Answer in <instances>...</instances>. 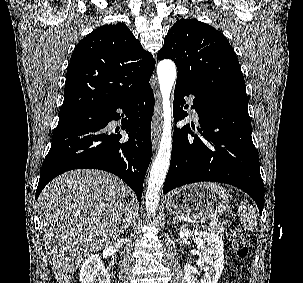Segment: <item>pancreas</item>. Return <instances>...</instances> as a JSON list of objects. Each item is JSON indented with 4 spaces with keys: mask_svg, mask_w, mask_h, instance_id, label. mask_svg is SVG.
<instances>
[{
    "mask_svg": "<svg viewBox=\"0 0 303 283\" xmlns=\"http://www.w3.org/2000/svg\"><path fill=\"white\" fill-rule=\"evenodd\" d=\"M203 228L207 229L210 233L216 235L224 233V228L221 227L218 222H215L213 224H210L208 227H203Z\"/></svg>",
    "mask_w": 303,
    "mask_h": 283,
    "instance_id": "pancreas-1",
    "label": "pancreas"
}]
</instances>
